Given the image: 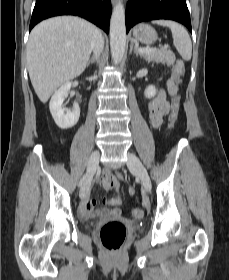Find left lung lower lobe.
<instances>
[{
    "label": "left lung lower lobe",
    "instance_id": "left-lung-lower-lobe-1",
    "mask_svg": "<svg viewBox=\"0 0 229 280\" xmlns=\"http://www.w3.org/2000/svg\"><path fill=\"white\" fill-rule=\"evenodd\" d=\"M158 19L180 22L191 32L186 0H130L126 7V32L137 23Z\"/></svg>",
    "mask_w": 229,
    "mask_h": 280
}]
</instances>
